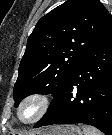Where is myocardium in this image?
Instances as JSON below:
<instances>
[{"mask_svg":"<svg viewBox=\"0 0 112 135\" xmlns=\"http://www.w3.org/2000/svg\"><path fill=\"white\" fill-rule=\"evenodd\" d=\"M29 104L34 105L36 111L34 115L29 119H23L21 117V111L25 106ZM49 107H50V101L46 94L41 92H32L24 96L18 103L16 107V117L21 124L31 125L38 122L40 119H42L47 113Z\"/></svg>","mask_w":112,"mask_h":135,"instance_id":"f54148a6","label":"myocardium"}]
</instances>
